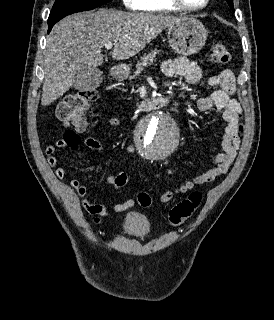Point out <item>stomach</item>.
I'll use <instances>...</instances> for the list:
<instances>
[{"instance_id":"1","label":"stomach","mask_w":274,"mask_h":320,"mask_svg":"<svg viewBox=\"0 0 274 320\" xmlns=\"http://www.w3.org/2000/svg\"><path fill=\"white\" fill-rule=\"evenodd\" d=\"M207 40V32L196 18H179L172 26H168V42L176 54L193 56L203 48ZM112 76L123 80L127 72L125 66H113L110 70Z\"/></svg>"}]
</instances>
